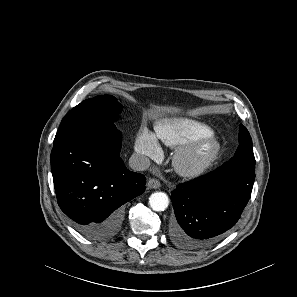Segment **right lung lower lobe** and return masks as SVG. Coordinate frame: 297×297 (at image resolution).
Masks as SVG:
<instances>
[{"label":"right lung lower lobe","mask_w":297,"mask_h":297,"mask_svg":"<svg viewBox=\"0 0 297 297\" xmlns=\"http://www.w3.org/2000/svg\"><path fill=\"white\" fill-rule=\"evenodd\" d=\"M122 137L103 127L54 139L51 170L58 205L74 228L93 240L115 236L123 205L145 190V176L120 158Z\"/></svg>","instance_id":"98d812e1"}]
</instances>
